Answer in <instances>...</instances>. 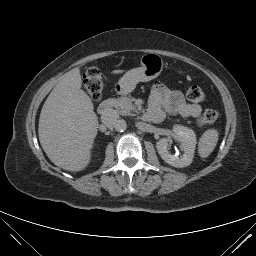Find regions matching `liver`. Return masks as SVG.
<instances>
[{
    "mask_svg": "<svg viewBox=\"0 0 256 256\" xmlns=\"http://www.w3.org/2000/svg\"><path fill=\"white\" fill-rule=\"evenodd\" d=\"M122 70H115L119 74ZM80 69L65 73L46 99L39 118V140L48 158L68 171L90 163L98 133L93 102L81 89Z\"/></svg>",
    "mask_w": 256,
    "mask_h": 256,
    "instance_id": "obj_1",
    "label": "liver"
}]
</instances>
